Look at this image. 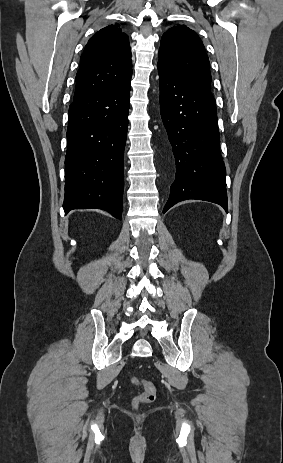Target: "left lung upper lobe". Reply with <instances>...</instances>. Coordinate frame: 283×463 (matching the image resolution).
<instances>
[{"label":"left lung upper lobe","instance_id":"left-lung-upper-lobe-1","mask_svg":"<svg viewBox=\"0 0 283 463\" xmlns=\"http://www.w3.org/2000/svg\"><path fill=\"white\" fill-rule=\"evenodd\" d=\"M158 63L192 89L213 98L208 56L201 39L187 26L176 25L163 34Z\"/></svg>","mask_w":283,"mask_h":463}]
</instances>
